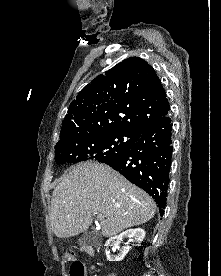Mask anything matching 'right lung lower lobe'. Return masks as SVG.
Instances as JSON below:
<instances>
[{"instance_id":"right-lung-lower-lobe-1","label":"right lung lower lobe","mask_w":221,"mask_h":276,"mask_svg":"<svg viewBox=\"0 0 221 276\" xmlns=\"http://www.w3.org/2000/svg\"><path fill=\"white\" fill-rule=\"evenodd\" d=\"M172 123L165 116L131 135L130 147L104 162L152 196L162 215L166 205L172 157Z\"/></svg>"}]
</instances>
